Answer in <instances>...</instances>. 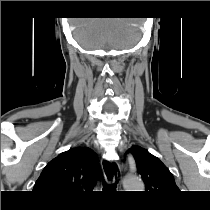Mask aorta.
Here are the masks:
<instances>
[{"instance_id": "762f6f07", "label": "aorta", "mask_w": 210, "mask_h": 210, "mask_svg": "<svg viewBox=\"0 0 210 210\" xmlns=\"http://www.w3.org/2000/svg\"><path fill=\"white\" fill-rule=\"evenodd\" d=\"M123 184L127 191H142L144 189L142 180L137 176H127Z\"/></svg>"}]
</instances>
